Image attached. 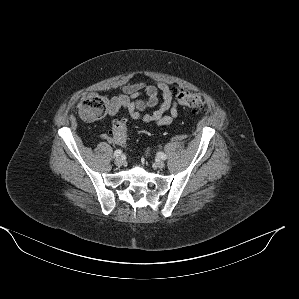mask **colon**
<instances>
[{
  "instance_id": "colon-1",
  "label": "colon",
  "mask_w": 299,
  "mask_h": 299,
  "mask_svg": "<svg viewBox=\"0 0 299 299\" xmlns=\"http://www.w3.org/2000/svg\"><path fill=\"white\" fill-rule=\"evenodd\" d=\"M178 102L194 111L205 112L208 107L204 97L199 93L183 91L176 95ZM108 100L96 93L83 95L77 105L80 117L86 121H96L108 113ZM127 126L123 120H117L112 127L114 139L123 145L126 141Z\"/></svg>"
}]
</instances>
